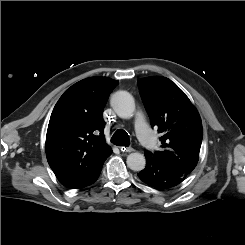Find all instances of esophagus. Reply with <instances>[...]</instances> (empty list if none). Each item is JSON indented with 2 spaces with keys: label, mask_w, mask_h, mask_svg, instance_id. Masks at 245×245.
I'll use <instances>...</instances> for the list:
<instances>
[{
  "label": "esophagus",
  "mask_w": 245,
  "mask_h": 245,
  "mask_svg": "<svg viewBox=\"0 0 245 245\" xmlns=\"http://www.w3.org/2000/svg\"><path fill=\"white\" fill-rule=\"evenodd\" d=\"M119 148H120V150H121L122 152H132V151H134V149H133L132 147L121 146V147H119Z\"/></svg>",
  "instance_id": "34e87169"
}]
</instances>
